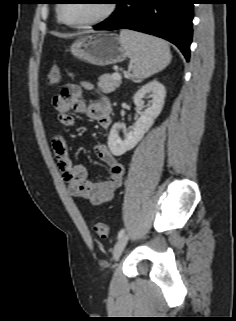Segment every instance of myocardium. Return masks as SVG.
I'll return each mask as SVG.
<instances>
[{
	"mask_svg": "<svg viewBox=\"0 0 236 321\" xmlns=\"http://www.w3.org/2000/svg\"><path fill=\"white\" fill-rule=\"evenodd\" d=\"M106 3H107L106 9L99 17H97L93 20L84 21V22H70L63 15L62 9H63V6L65 3L62 2L57 6L58 18L63 24H65L69 27L84 28V27L94 26V25L100 24L103 21L107 20L114 13V11L116 9L115 1L109 0Z\"/></svg>",
	"mask_w": 236,
	"mask_h": 321,
	"instance_id": "1",
	"label": "myocardium"
}]
</instances>
